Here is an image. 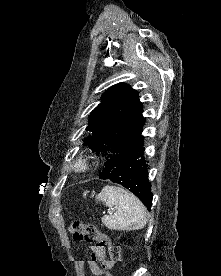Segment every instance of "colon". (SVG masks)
<instances>
[{
    "mask_svg": "<svg viewBox=\"0 0 221 276\" xmlns=\"http://www.w3.org/2000/svg\"><path fill=\"white\" fill-rule=\"evenodd\" d=\"M69 232L76 241L94 243L96 247L107 250L109 269L121 260V248L113 244L107 235L101 233L93 222L73 219L69 226Z\"/></svg>",
    "mask_w": 221,
    "mask_h": 276,
    "instance_id": "obj_1",
    "label": "colon"
}]
</instances>
